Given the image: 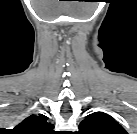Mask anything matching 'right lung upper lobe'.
<instances>
[{"instance_id":"cb5924a9","label":"right lung upper lobe","mask_w":137,"mask_h":134,"mask_svg":"<svg viewBox=\"0 0 137 134\" xmlns=\"http://www.w3.org/2000/svg\"><path fill=\"white\" fill-rule=\"evenodd\" d=\"M54 125L43 114L30 115L14 128L17 134H54Z\"/></svg>"}]
</instances>
